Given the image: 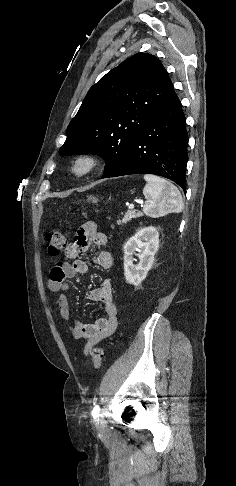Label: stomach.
Returning <instances> with one entry per match:
<instances>
[{
	"instance_id": "1",
	"label": "stomach",
	"mask_w": 236,
	"mask_h": 486,
	"mask_svg": "<svg viewBox=\"0 0 236 486\" xmlns=\"http://www.w3.org/2000/svg\"><path fill=\"white\" fill-rule=\"evenodd\" d=\"M88 201H91L93 203H96L98 201V199L96 197H94V196H90V197H88Z\"/></svg>"
}]
</instances>
